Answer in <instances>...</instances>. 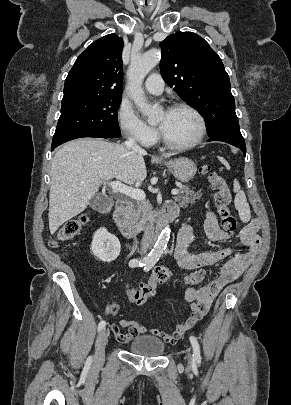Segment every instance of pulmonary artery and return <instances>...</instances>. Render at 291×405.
I'll list each match as a JSON object with an SVG mask.
<instances>
[{
    "instance_id": "1",
    "label": "pulmonary artery",
    "mask_w": 291,
    "mask_h": 405,
    "mask_svg": "<svg viewBox=\"0 0 291 405\" xmlns=\"http://www.w3.org/2000/svg\"><path fill=\"white\" fill-rule=\"evenodd\" d=\"M145 88L152 94H161L164 89V81L158 73H152L145 81Z\"/></svg>"
}]
</instances>
